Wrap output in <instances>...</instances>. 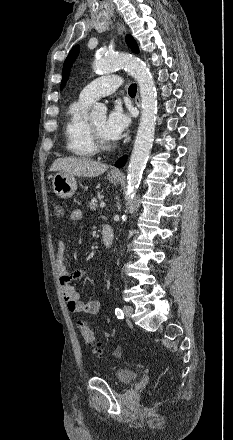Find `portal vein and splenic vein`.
<instances>
[{"mask_svg":"<svg viewBox=\"0 0 233 440\" xmlns=\"http://www.w3.org/2000/svg\"><path fill=\"white\" fill-rule=\"evenodd\" d=\"M106 206V204L104 202L100 203V207L104 208Z\"/></svg>","mask_w":233,"mask_h":440,"instance_id":"1","label":"portal vein and splenic vein"}]
</instances>
